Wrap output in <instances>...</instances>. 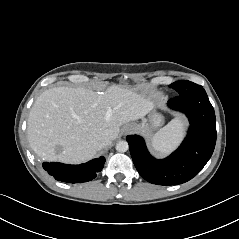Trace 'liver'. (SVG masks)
Segmentation results:
<instances>
[{
    "label": "liver",
    "instance_id": "1",
    "mask_svg": "<svg viewBox=\"0 0 239 239\" xmlns=\"http://www.w3.org/2000/svg\"><path fill=\"white\" fill-rule=\"evenodd\" d=\"M154 108L149 97L120 85L104 93L91 89L56 87L44 91L31 107L27 136L31 148L47 161L86 162L110 142L120 126L143 118Z\"/></svg>",
    "mask_w": 239,
    "mask_h": 239
}]
</instances>
